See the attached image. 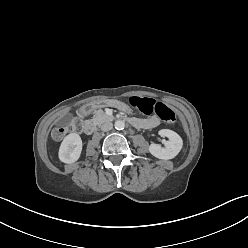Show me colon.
I'll list each match as a JSON object with an SVG mask.
<instances>
[{
    "mask_svg": "<svg viewBox=\"0 0 248 248\" xmlns=\"http://www.w3.org/2000/svg\"><path fill=\"white\" fill-rule=\"evenodd\" d=\"M129 102L136 107L139 111L147 115H157L161 120L166 123H174L177 119L176 113L170 107L163 103L157 102L150 98L132 97ZM81 122L75 120L69 125L57 127L52 132V137L60 140L70 132L80 130Z\"/></svg>",
    "mask_w": 248,
    "mask_h": 248,
    "instance_id": "1",
    "label": "colon"
}]
</instances>
